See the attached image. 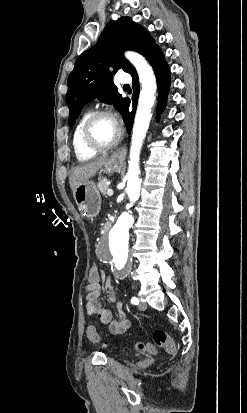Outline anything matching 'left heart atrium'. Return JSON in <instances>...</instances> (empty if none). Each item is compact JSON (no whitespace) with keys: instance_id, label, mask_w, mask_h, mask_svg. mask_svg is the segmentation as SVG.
Returning <instances> with one entry per match:
<instances>
[{"instance_id":"obj_1","label":"left heart atrium","mask_w":247,"mask_h":413,"mask_svg":"<svg viewBox=\"0 0 247 413\" xmlns=\"http://www.w3.org/2000/svg\"><path fill=\"white\" fill-rule=\"evenodd\" d=\"M108 122L112 127H118V115L117 114H110L107 118Z\"/></svg>"}]
</instances>
